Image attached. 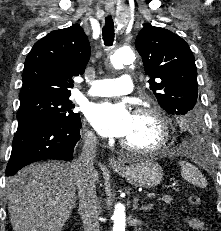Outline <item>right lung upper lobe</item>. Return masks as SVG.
Listing matches in <instances>:
<instances>
[{
    "label": "right lung upper lobe",
    "mask_w": 221,
    "mask_h": 231,
    "mask_svg": "<svg viewBox=\"0 0 221 231\" xmlns=\"http://www.w3.org/2000/svg\"><path fill=\"white\" fill-rule=\"evenodd\" d=\"M89 58V41L79 25L50 32L26 57L19 98L70 96L72 77L84 73Z\"/></svg>",
    "instance_id": "cb5924a9"
}]
</instances>
